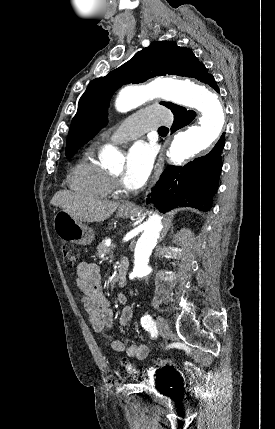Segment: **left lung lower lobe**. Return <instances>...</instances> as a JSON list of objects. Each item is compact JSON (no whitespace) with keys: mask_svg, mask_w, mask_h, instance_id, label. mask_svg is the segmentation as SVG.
<instances>
[{"mask_svg":"<svg viewBox=\"0 0 275 429\" xmlns=\"http://www.w3.org/2000/svg\"><path fill=\"white\" fill-rule=\"evenodd\" d=\"M197 79L219 92L214 77L205 66L200 69ZM171 111L174 114L171 132L188 125L196 116L194 111H187L181 106H176ZM224 144L223 133L207 155L196 158L183 167L169 165L153 187L147 204L153 203L162 212L178 206L208 211L219 183Z\"/></svg>","mask_w":275,"mask_h":429,"instance_id":"1","label":"left lung lower lobe"}]
</instances>
